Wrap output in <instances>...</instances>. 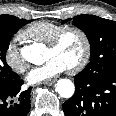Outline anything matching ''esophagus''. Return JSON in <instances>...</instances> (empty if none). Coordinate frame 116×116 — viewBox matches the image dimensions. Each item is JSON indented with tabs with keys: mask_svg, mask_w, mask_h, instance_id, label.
<instances>
[{
	"mask_svg": "<svg viewBox=\"0 0 116 116\" xmlns=\"http://www.w3.org/2000/svg\"><path fill=\"white\" fill-rule=\"evenodd\" d=\"M55 83V80H49V81H46L44 82L45 85H53Z\"/></svg>",
	"mask_w": 116,
	"mask_h": 116,
	"instance_id": "1",
	"label": "esophagus"
}]
</instances>
